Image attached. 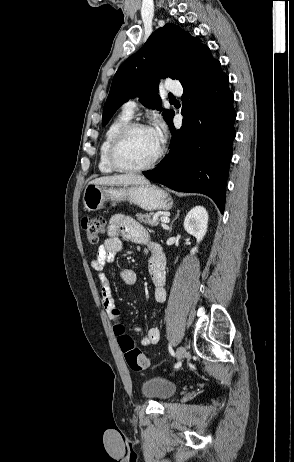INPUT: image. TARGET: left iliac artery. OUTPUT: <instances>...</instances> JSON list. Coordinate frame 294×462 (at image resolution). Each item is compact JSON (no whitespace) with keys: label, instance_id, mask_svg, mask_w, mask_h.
I'll return each instance as SVG.
<instances>
[{"label":"left iliac artery","instance_id":"obj_1","mask_svg":"<svg viewBox=\"0 0 294 462\" xmlns=\"http://www.w3.org/2000/svg\"><path fill=\"white\" fill-rule=\"evenodd\" d=\"M172 348H173V345L169 344L167 351L169 352V355L171 356V358H177L176 353H174V350ZM180 366H181V363L178 362L174 367L179 368Z\"/></svg>","mask_w":294,"mask_h":462}]
</instances>
